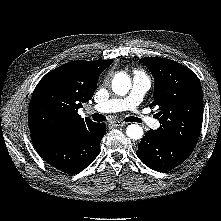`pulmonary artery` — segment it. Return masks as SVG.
<instances>
[{
  "label": "pulmonary artery",
  "mask_w": 221,
  "mask_h": 221,
  "mask_svg": "<svg viewBox=\"0 0 221 221\" xmlns=\"http://www.w3.org/2000/svg\"><path fill=\"white\" fill-rule=\"evenodd\" d=\"M151 87V80L143 73L137 72L133 77V86L130 94L124 98H114L94 105V110L101 113L119 112L129 110L141 123L157 129L159 121L146 115L138 109L147 91Z\"/></svg>",
  "instance_id": "obj_1"
}]
</instances>
